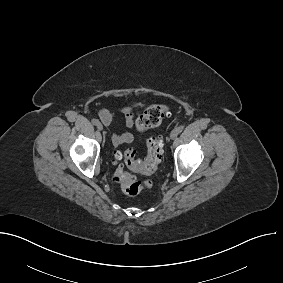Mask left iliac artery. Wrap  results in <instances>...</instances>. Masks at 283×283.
Returning <instances> with one entry per match:
<instances>
[{"mask_svg": "<svg viewBox=\"0 0 283 283\" xmlns=\"http://www.w3.org/2000/svg\"><path fill=\"white\" fill-rule=\"evenodd\" d=\"M183 129H184V126H182V125L179 126V127L177 128L178 133H181Z\"/></svg>", "mask_w": 283, "mask_h": 283, "instance_id": "obj_1", "label": "left iliac artery"}]
</instances>
